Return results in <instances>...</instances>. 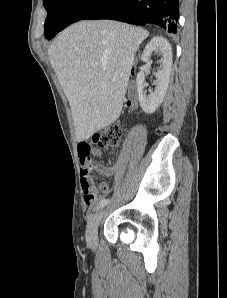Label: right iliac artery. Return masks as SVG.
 <instances>
[{"label": "right iliac artery", "instance_id": "82829eb1", "mask_svg": "<svg viewBox=\"0 0 227 298\" xmlns=\"http://www.w3.org/2000/svg\"><path fill=\"white\" fill-rule=\"evenodd\" d=\"M109 203V199H102L98 205V209L99 208H103L104 206H106Z\"/></svg>", "mask_w": 227, "mask_h": 298}]
</instances>
